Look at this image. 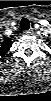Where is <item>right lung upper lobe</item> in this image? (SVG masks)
<instances>
[{"label": "right lung upper lobe", "instance_id": "obj_1", "mask_svg": "<svg viewBox=\"0 0 51 101\" xmlns=\"http://www.w3.org/2000/svg\"><path fill=\"white\" fill-rule=\"evenodd\" d=\"M10 44H11V40L6 38L2 43H1V49H0V54L1 55H4L9 47H10Z\"/></svg>", "mask_w": 51, "mask_h": 101}]
</instances>
